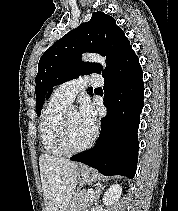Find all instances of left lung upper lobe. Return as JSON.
<instances>
[{"mask_svg": "<svg viewBox=\"0 0 178 211\" xmlns=\"http://www.w3.org/2000/svg\"><path fill=\"white\" fill-rule=\"evenodd\" d=\"M132 48L116 21L103 12H95L90 21L81 24L56 41L41 56L36 76V111L40 115L46 95L56 85L79 75L110 73ZM83 52H96L106 56L109 66L81 63Z\"/></svg>", "mask_w": 178, "mask_h": 211, "instance_id": "1", "label": "left lung upper lobe"}]
</instances>
